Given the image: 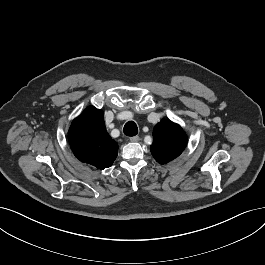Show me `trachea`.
Segmentation results:
<instances>
[{
	"instance_id": "1",
	"label": "trachea",
	"mask_w": 265,
	"mask_h": 265,
	"mask_svg": "<svg viewBox=\"0 0 265 265\" xmlns=\"http://www.w3.org/2000/svg\"><path fill=\"white\" fill-rule=\"evenodd\" d=\"M123 132L127 136H135L138 133V128L135 122L129 121L125 124Z\"/></svg>"
}]
</instances>
